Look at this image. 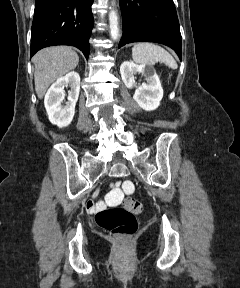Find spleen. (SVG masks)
Instances as JSON below:
<instances>
[{"instance_id": "3e777b00", "label": "spleen", "mask_w": 240, "mask_h": 288, "mask_svg": "<svg viewBox=\"0 0 240 288\" xmlns=\"http://www.w3.org/2000/svg\"><path fill=\"white\" fill-rule=\"evenodd\" d=\"M133 61L139 64L153 65L158 61L172 69H177V63L164 48L153 43H137L132 48Z\"/></svg>"}]
</instances>
